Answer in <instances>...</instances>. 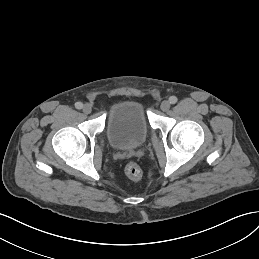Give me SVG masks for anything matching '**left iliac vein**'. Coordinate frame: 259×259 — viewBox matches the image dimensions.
<instances>
[{
    "instance_id": "obj_1",
    "label": "left iliac vein",
    "mask_w": 259,
    "mask_h": 259,
    "mask_svg": "<svg viewBox=\"0 0 259 259\" xmlns=\"http://www.w3.org/2000/svg\"><path fill=\"white\" fill-rule=\"evenodd\" d=\"M162 111L166 112L170 109V103L168 101H163L160 105Z\"/></svg>"
}]
</instances>
